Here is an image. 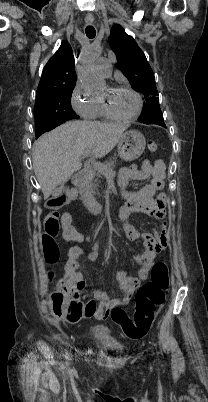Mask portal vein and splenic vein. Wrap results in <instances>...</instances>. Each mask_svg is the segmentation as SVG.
<instances>
[{"instance_id": "portal-vein-and-splenic-vein-1", "label": "portal vein and splenic vein", "mask_w": 208, "mask_h": 402, "mask_svg": "<svg viewBox=\"0 0 208 402\" xmlns=\"http://www.w3.org/2000/svg\"><path fill=\"white\" fill-rule=\"evenodd\" d=\"M89 152H90V150H87V152H84V154H82V156H85L86 158H88V160H91ZM92 164H93L94 170H107L108 166H113L114 161L110 160L109 163H107V165L105 162H101V163L100 162H92Z\"/></svg>"}]
</instances>
